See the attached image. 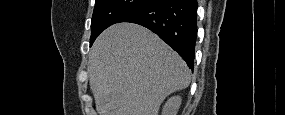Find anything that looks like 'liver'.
Instances as JSON below:
<instances>
[{
  "label": "liver",
  "mask_w": 285,
  "mask_h": 115,
  "mask_svg": "<svg viewBox=\"0 0 285 115\" xmlns=\"http://www.w3.org/2000/svg\"><path fill=\"white\" fill-rule=\"evenodd\" d=\"M88 73L99 115H158L164 99L191 81L184 60L133 23L102 32L91 48Z\"/></svg>",
  "instance_id": "1"
}]
</instances>
